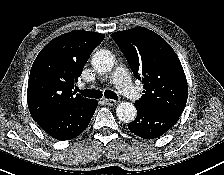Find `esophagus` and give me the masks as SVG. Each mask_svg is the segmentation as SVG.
Here are the masks:
<instances>
[{
  "label": "esophagus",
  "instance_id": "obj_1",
  "mask_svg": "<svg viewBox=\"0 0 224 175\" xmlns=\"http://www.w3.org/2000/svg\"><path fill=\"white\" fill-rule=\"evenodd\" d=\"M104 102L109 106H114L117 103V101L114 99H104Z\"/></svg>",
  "mask_w": 224,
  "mask_h": 175
}]
</instances>
